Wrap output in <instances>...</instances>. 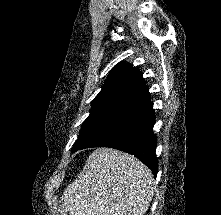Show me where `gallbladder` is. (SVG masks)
<instances>
[{"instance_id":"gallbladder-1","label":"gallbladder","mask_w":221,"mask_h":215,"mask_svg":"<svg viewBox=\"0 0 221 215\" xmlns=\"http://www.w3.org/2000/svg\"><path fill=\"white\" fill-rule=\"evenodd\" d=\"M57 215H67V208L63 204L58 207Z\"/></svg>"}]
</instances>
